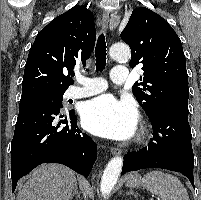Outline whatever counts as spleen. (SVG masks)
Instances as JSON below:
<instances>
[{
    "label": "spleen",
    "mask_w": 201,
    "mask_h": 200,
    "mask_svg": "<svg viewBox=\"0 0 201 200\" xmlns=\"http://www.w3.org/2000/svg\"><path fill=\"white\" fill-rule=\"evenodd\" d=\"M144 186L161 200H189V195L181 181L170 173L160 170L148 172L143 178Z\"/></svg>",
    "instance_id": "3e777b00"
}]
</instances>
